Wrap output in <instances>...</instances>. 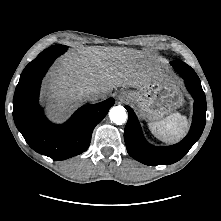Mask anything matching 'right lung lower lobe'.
Here are the masks:
<instances>
[{"mask_svg":"<svg viewBox=\"0 0 221 221\" xmlns=\"http://www.w3.org/2000/svg\"><path fill=\"white\" fill-rule=\"evenodd\" d=\"M67 49L50 47L23 70L13 99V118L18 130L36 152L54 160H64L86 151L95 126L114 104L109 98L86 105L61 125L49 122L39 106L42 77L54 60Z\"/></svg>","mask_w":221,"mask_h":221,"instance_id":"1","label":"right lung lower lobe"}]
</instances>
